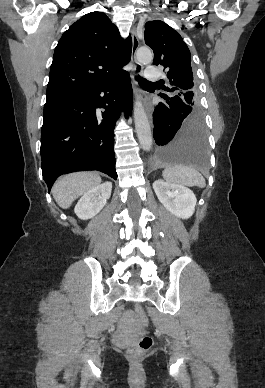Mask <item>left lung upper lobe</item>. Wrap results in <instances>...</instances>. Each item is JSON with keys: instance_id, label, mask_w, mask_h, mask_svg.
Masks as SVG:
<instances>
[{"instance_id": "5c2ea615", "label": "left lung upper lobe", "mask_w": 265, "mask_h": 388, "mask_svg": "<svg viewBox=\"0 0 265 388\" xmlns=\"http://www.w3.org/2000/svg\"><path fill=\"white\" fill-rule=\"evenodd\" d=\"M145 43L154 51V65H161L166 70L169 87L164 90L186 105L200 109L191 54L180 34L163 21H149L145 25ZM161 82L164 85V81Z\"/></svg>"}]
</instances>
